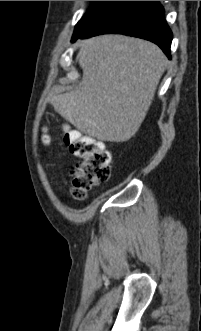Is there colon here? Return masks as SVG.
<instances>
[{
	"label": "colon",
	"mask_w": 201,
	"mask_h": 331,
	"mask_svg": "<svg viewBox=\"0 0 201 331\" xmlns=\"http://www.w3.org/2000/svg\"><path fill=\"white\" fill-rule=\"evenodd\" d=\"M64 143L78 158L70 174L71 193L75 199L83 200L88 192L108 180L111 156L101 142L78 131L65 130Z\"/></svg>",
	"instance_id": "colon-1"
}]
</instances>
